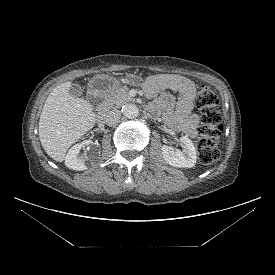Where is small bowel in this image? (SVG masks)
I'll return each instance as SVG.
<instances>
[{
	"mask_svg": "<svg viewBox=\"0 0 275 275\" xmlns=\"http://www.w3.org/2000/svg\"><path fill=\"white\" fill-rule=\"evenodd\" d=\"M134 82L139 80L132 77ZM145 92L155 96L160 91L171 90L175 93L163 94L156 98L150 109L163 112L165 122L173 129L196 137L199 117L192 113V101L195 95V84L180 75H156L141 80Z\"/></svg>",
	"mask_w": 275,
	"mask_h": 275,
	"instance_id": "obj_1",
	"label": "small bowel"
}]
</instances>
